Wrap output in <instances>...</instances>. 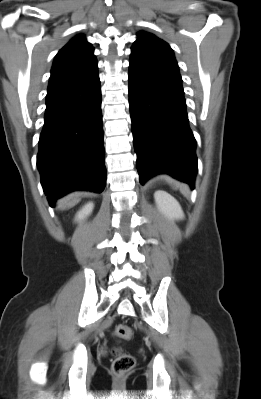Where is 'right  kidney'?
Instances as JSON below:
<instances>
[{
	"instance_id": "right-kidney-1",
	"label": "right kidney",
	"mask_w": 261,
	"mask_h": 399,
	"mask_svg": "<svg viewBox=\"0 0 261 399\" xmlns=\"http://www.w3.org/2000/svg\"><path fill=\"white\" fill-rule=\"evenodd\" d=\"M94 208V204L92 202L87 203L76 215L75 220L81 221L84 220L87 216H89Z\"/></svg>"
}]
</instances>
